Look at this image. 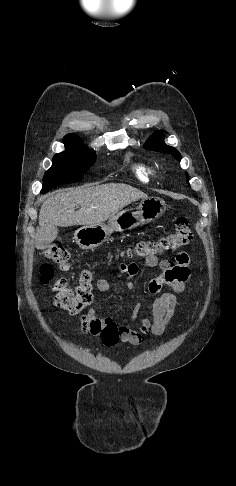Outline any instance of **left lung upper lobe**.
I'll list each match as a JSON object with an SVG mask.
<instances>
[{
	"mask_svg": "<svg viewBox=\"0 0 236 486\" xmlns=\"http://www.w3.org/2000/svg\"><path fill=\"white\" fill-rule=\"evenodd\" d=\"M144 148L162 153H171L178 161L181 160V154L174 147L164 143L162 131H155V134L144 144Z\"/></svg>",
	"mask_w": 236,
	"mask_h": 486,
	"instance_id": "5c2ea615",
	"label": "left lung upper lobe"
}]
</instances>
